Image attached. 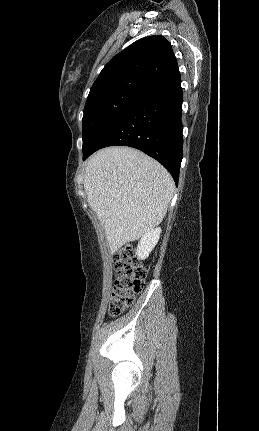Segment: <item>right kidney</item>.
I'll list each match as a JSON object with an SVG mask.
<instances>
[{"mask_svg": "<svg viewBox=\"0 0 259 431\" xmlns=\"http://www.w3.org/2000/svg\"><path fill=\"white\" fill-rule=\"evenodd\" d=\"M161 228H155L147 232L140 240L136 254L139 259H146L160 238Z\"/></svg>", "mask_w": 259, "mask_h": 431, "instance_id": "1", "label": "right kidney"}]
</instances>
